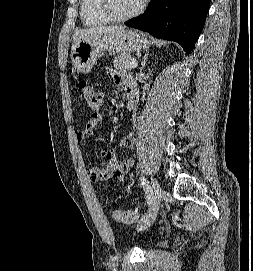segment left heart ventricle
I'll list each match as a JSON object with an SVG mask.
<instances>
[{
    "label": "left heart ventricle",
    "instance_id": "1",
    "mask_svg": "<svg viewBox=\"0 0 253 271\" xmlns=\"http://www.w3.org/2000/svg\"><path fill=\"white\" fill-rule=\"evenodd\" d=\"M142 0H114V6L119 14H127L133 11Z\"/></svg>",
    "mask_w": 253,
    "mask_h": 271
}]
</instances>
